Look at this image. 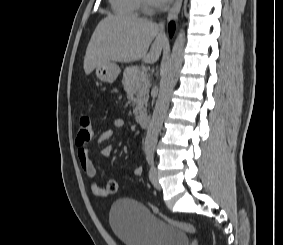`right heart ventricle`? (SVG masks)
I'll return each mask as SVG.
<instances>
[{
	"instance_id": "obj_1",
	"label": "right heart ventricle",
	"mask_w": 283,
	"mask_h": 245,
	"mask_svg": "<svg viewBox=\"0 0 283 245\" xmlns=\"http://www.w3.org/2000/svg\"><path fill=\"white\" fill-rule=\"evenodd\" d=\"M112 9L121 15L137 16L142 8V0H109Z\"/></svg>"
}]
</instances>
